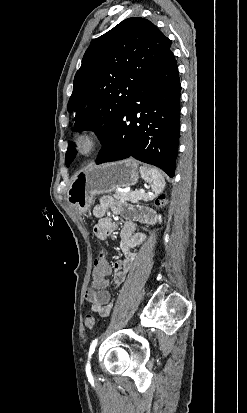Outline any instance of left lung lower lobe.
Instances as JSON below:
<instances>
[{
    "label": "left lung lower lobe",
    "mask_w": 247,
    "mask_h": 413,
    "mask_svg": "<svg viewBox=\"0 0 247 413\" xmlns=\"http://www.w3.org/2000/svg\"><path fill=\"white\" fill-rule=\"evenodd\" d=\"M180 79L169 49L141 82L103 143L96 164L134 157L175 175Z\"/></svg>",
    "instance_id": "left-lung-lower-lobe-1"
}]
</instances>
